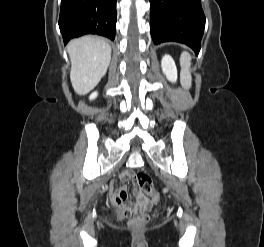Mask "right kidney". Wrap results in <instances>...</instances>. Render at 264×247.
I'll use <instances>...</instances> for the list:
<instances>
[{
  "label": "right kidney",
  "instance_id": "right-kidney-1",
  "mask_svg": "<svg viewBox=\"0 0 264 247\" xmlns=\"http://www.w3.org/2000/svg\"><path fill=\"white\" fill-rule=\"evenodd\" d=\"M97 95H98L97 92H93V93L90 95L89 99H90V100H93V99H95V98L97 97Z\"/></svg>",
  "mask_w": 264,
  "mask_h": 247
}]
</instances>
